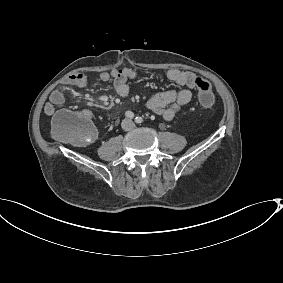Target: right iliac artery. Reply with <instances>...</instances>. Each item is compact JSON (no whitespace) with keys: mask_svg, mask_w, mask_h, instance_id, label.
<instances>
[{"mask_svg":"<svg viewBox=\"0 0 283 283\" xmlns=\"http://www.w3.org/2000/svg\"><path fill=\"white\" fill-rule=\"evenodd\" d=\"M125 116L132 119V118H134V113L131 112V111H127V112H125Z\"/></svg>","mask_w":283,"mask_h":283,"instance_id":"obj_1","label":"right iliac artery"}]
</instances>
